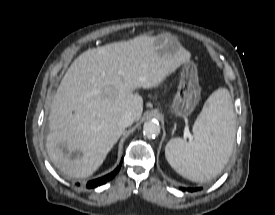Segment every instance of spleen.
Returning a JSON list of instances; mask_svg holds the SVG:
<instances>
[{
  "mask_svg": "<svg viewBox=\"0 0 275 215\" xmlns=\"http://www.w3.org/2000/svg\"><path fill=\"white\" fill-rule=\"evenodd\" d=\"M194 140H170L165 155L170 166L194 182L217 176L227 164L235 139V114L230 94L220 88L205 102L193 126Z\"/></svg>",
  "mask_w": 275,
  "mask_h": 215,
  "instance_id": "3e777b00",
  "label": "spleen"
}]
</instances>
